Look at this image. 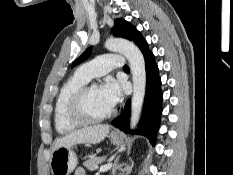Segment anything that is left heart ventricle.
<instances>
[{
	"label": "left heart ventricle",
	"mask_w": 233,
	"mask_h": 175,
	"mask_svg": "<svg viewBox=\"0 0 233 175\" xmlns=\"http://www.w3.org/2000/svg\"><path fill=\"white\" fill-rule=\"evenodd\" d=\"M87 109L90 114L100 116L108 113L112 108L101 95L100 88L93 86L87 96Z\"/></svg>",
	"instance_id": "b2bd125f"
}]
</instances>
